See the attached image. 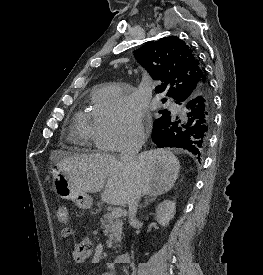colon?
I'll use <instances>...</instances> for the list:
<instances>
[{
    "label": "colon",
    "instance_id": "5ec220e1",
    "mask_svg": "<svg viewBox=\"0 0 263 275\" xmlns=\"http://www.w3.org/2000/svg\"><path fill=\"white\" fill-rule=\"evenodd\" d=\"M57 220L60 223H67L69 221V210L66 206H60L56 212Z\"/></svg>",
    "mask_w": 263,
    "mask_h": 275
}]
</instances>
